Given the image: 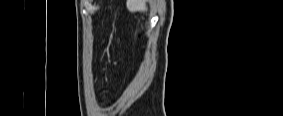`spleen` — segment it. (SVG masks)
I'll use <instances>...</instances> for the list:
<instances>
[{
  "label": "spleen",
  "instance_id": "1",
  "mask_svg": "<svg viewBox=\"0 0 283 116\" xmlns=\"http://www.w3.org/2000/svg\"><path fill=\"white\" fill-rule=\"evenodd\" d=\"M127 8L131 12H134V11L147 12L146 3L143 0H128Z\"/></svg>",
  "mask_w": 283,
  "mask_h": 116
}]
</instances>
